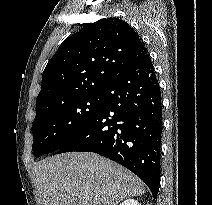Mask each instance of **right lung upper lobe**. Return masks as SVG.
Here are the masks:
<instances>
[{
    "instance_id": "cb5924a9",
    "label": "right lung upper lobe",
    "mask_w": 212,
    "mask_h": 205,
    "mask_svg": "<svg viewBox=\"0 0 212 205\" xmlns=\"http://www.w3.org/2000/svg\"><path fill=\"white\" fill-rule=\"evenodd\" d=\"M147 54L127 22L105 18L67 38L45 67L36 117L73 99L99 93Z\"/></svg>"
}]
</instances>
